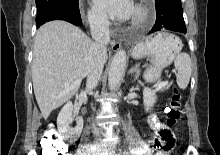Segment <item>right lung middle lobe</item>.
<instances>
[{
    "label": "right lung middle lobe",
    "mask_w": 220,
    "mask_h": 155,
    "mask_svg": "<svg viewBox=\"0 0 220 155\" xmlns=\"http://www.w3.org/2000/svg\"><path fill=\"white\" fill-rule=\"evenodd\" d=\"M37 14L54 8L79 9L78 0H36Z\"/></svg>",
    "instance_id": "1"
}]
</instances>
